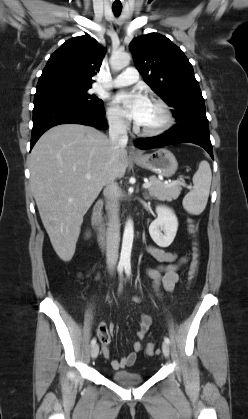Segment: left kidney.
I'll list each match as a JSON object with an SVG mask.
<instances>
[{
    "instance_id": "1",
    "label": "left kidney",
    "mask_w": 248,
    "mask_h": 419,
    "mask_svg": "<svg viewBox=\"0 0 248 419\" xmlns=\"http://www.w3.org/2000/svg\"><path fill=\"white\" fill-rule=\"evenodd\" d=\"M156 213L157 218L149 226L150 236L158 246L168 247L177 233V217L173 210L165 206H157Z\"/></svg>"
}]
</instances>
